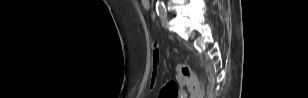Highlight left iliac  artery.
I'll use <instances>...</instances> for the list:
<instances>
[{
	"mask_svg": "<svg viewBox=\"0 0 308 98\" xmlns=\"http://www.w3.org/2000/svg\"><path fill=\"white\" fill-rule=\"evenodd\" d=\"M156 11L160 18L164 19L167 16L166 7L163 2H158L156 4Z\"/></svg>",
	"mask_w": 308,
	"mask_h": 98,
	"instance_id": "left-iliac-artery-1",
	"label": "left iliac artery"
}]
</instances>
